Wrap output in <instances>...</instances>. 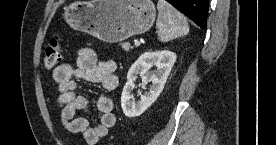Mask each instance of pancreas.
Wrapping results in <instances>:
<instances>
[{
  "mask_svg": "<svg viewBox=\"0 0 276 145\" xmlns=\"http://www.w3.org/2000/svg\"><path fill=\"white\" fill-rule=\"evenodd\" d=\"M121 47H122L123 50L129 51V49H130V44H129V43H122V44H121Z\"/></svg>",
  "mask_w": 276,
  "mask_h": 145,
  "instance_id": "obj_1",
  "label": "pancreas"
}]
</instances>
